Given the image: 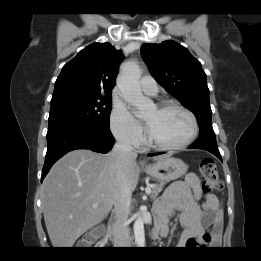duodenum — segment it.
I'll use <instances>...</instances> for the list:
<instances>
[{
    "label": "duodenum",
    "instance_id": "duodenum-1",
    "mask_svg": "<svg viewBox=\"0 0 261 261\" xmlns=\"http://www.w3.org/2000/svg\"><path fill=\"white\" fill-rule=\"evenodd\" d=\"M164 231L160 228H155L151 231V235L153 237L158 236L159 234L163 233ZM101 236H105L110 241H115L117 236V230L114 227H111V230L108 232L100 233Z\"/></svg>",
    "mask_w": 261,
    "mask_h": 261
}]
</instances>
